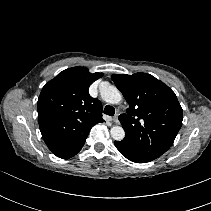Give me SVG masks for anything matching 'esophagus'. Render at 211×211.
<instances>
[{
	"instance_id": "1",
	"label": "esophagus",
	"mask_w": 211,
	"mask_h": 211,
	"mask_svg": "<svg viewBox=\"0 0 211 211\" xmlns=\"http://www.w3.org/2000/svg\"><path fill=\"white\" fill-rule=\"evenodd\" d=\"M113 122L119 124L118 114L112 118Z\"/></svg>"
}]
</instances>
